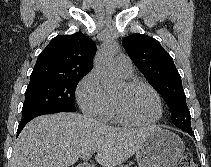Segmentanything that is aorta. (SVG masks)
Here are the masks:
<instances>
[{
    "mask_svg": "<svg viewBox=\"0 0 211 167\" xmlns=\"http://www.w3.org/2000/svg\"><path fill=\"white\" fill-rule=\"evenodd\" d=\"M117 48L114 41H107L101 46L95 58V69L100 75L103 88L107 91L114 89L119 84V78L112 65Z\"/></svg>",
    "mask_w": 211,
    "mask_h": 167,
    "instance_id": "1",
    "label": "aorta"
}]
</instances>
